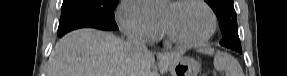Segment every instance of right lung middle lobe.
I'll return each mask as SVG.
<instances>
[{
    "mask_svg": "<svg viewBox=\"0 0 287 76\" xmlns=\"http://www.w3.org/2000/svg\"><path fill=\"white\" fill-rule=\"evenodd\" d=\"M119 0H63L58 36L84 27L118 30L114 9Z\"/></svg>",
    "mask_w": 287,
    "mask_h": 76,
    "instance_id": "1",
    "label": "right lung middle lobe"
}]
</instances>
